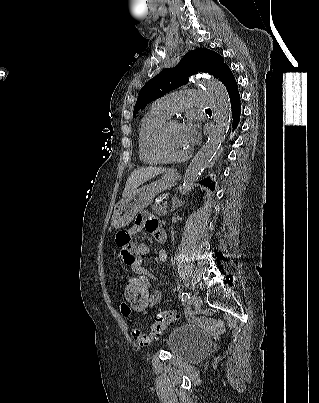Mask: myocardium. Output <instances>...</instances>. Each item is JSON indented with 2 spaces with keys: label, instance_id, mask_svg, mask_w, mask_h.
Instances as JSON below:
<instances>
[{
  "label": "myocardium",
  "instance_id": "1",
  "mask_svg": "<svg viewBox=\"0 0 319 403\" xmlns=\"http://www.w3.org/2000/svg\"><path fill=\"white\" fill-rule=\"evenodd\" d=\"M179 124V120L176 118L169 117L166 119L157 129L154 139H153V148L158 157L164 161L169 163H180L186 161L191 156V150L189 149L182 156H171L167 153L164 146V137L167 130L173 126Z\"/></svg>",
  "mask_w": 319,
  "mask_h": 403
}]
</instances>
